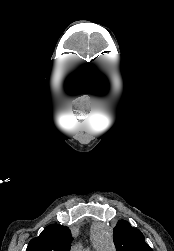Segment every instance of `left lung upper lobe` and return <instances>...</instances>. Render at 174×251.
Here are the masks:
<instances>
[{
    "label": "left lung upper lobe",
    "instance_id": "5c2ea615",
    "mask_svg": "<svg viewBox=\"0 0 174 251\" xmlns=\"http://www.w3.org/2000/svg\"><path fill=\"white\" fill-rule=\"evenodd\" d=\"M113 239L117 251H153L144 240L140 230L132 227L127 221H118L113 229Z\"/></svg>",
    "mask_w": 174,
    "mask_h": 251
}]
</instances>
